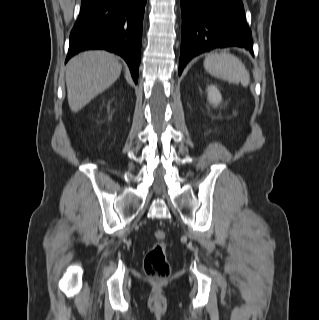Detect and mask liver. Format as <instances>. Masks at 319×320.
<instances>
[{
    "instance_id": "obj_1",
    "label": "liver",
    "mask_w": 319,
    "mask_h": 320,
    "mask_svg": "<svg viewBox=\"0 0 319 320\" xmlns=\"http://www.w3.org/2000/svg\"><path fill=\"white\" fill-rule=\"evenodd\" d=\"M122 65L112 53L85 51L67 64L68 104L78 112L97 95L109 88L120 76Z\"/></svg>"
}]
</instances>
